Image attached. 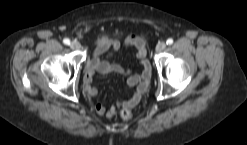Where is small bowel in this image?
Masks as SVG:
<instances>
[{"label": "small bowel", "instance_id": "1", "mask_svg": "<svg viewBox=\"0 0 247 145\" xmlns=\"http://www.w3.org/2000/svg\"><path fill=\"white\" fill-rule=\"evenodd\" d=\"M123 44L127 47H135L137 49L135 57L140 61L142 67L140 74L132 73L129 68L110 61L107 57H103L109 52H117L121 47L119 40L110 39L105 36L100 37L96 41L93 56L86 66L84 74V93L89 99L96 97L98 94V90L91 86L95 74L117 73L126 77L128 87L134 89L132 96L128 100L118 101L108 110H106L102 104H96L94 108L99 115L106 114L107 116H114L119 109L134 108L139 103L142 94L150 83L151 65L147 59L144 40L138 36H130L123 41Z\"/></svg>", "mask_w": 247, "mask_h": 145}]
</instances>
